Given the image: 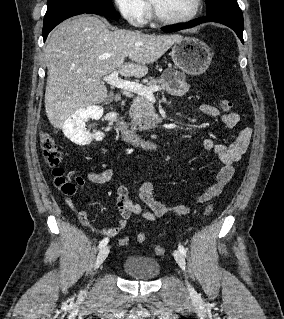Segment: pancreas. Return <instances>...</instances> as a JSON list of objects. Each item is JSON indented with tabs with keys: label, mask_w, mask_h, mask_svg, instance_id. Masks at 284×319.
I'll return each instance as SVG.
<instances>
[{
	"label": "pancreas",
	"mask_w": 284,
	"mask_h": 319,
	"mask_svg": "<svg viewBox=\"0 0 284 319\" xmlns=\"http://www.w3.org/2000/svg\"><path fill=\"white\" fill-rule=\"evenodd\" d=\"M172 72L174 77L171 79L167 73ZM148 86H158L163 91L176 96H183L189 90V85L185 82L184 75L175 70L165 71L159 79L151 78ZM130 117L134 127L139 130H150L155 126L157 114L153 104L144 96L138 95L132 105Z\"/></svg>",
	"instance_id": "cf45deb5"
}]
</instances>
